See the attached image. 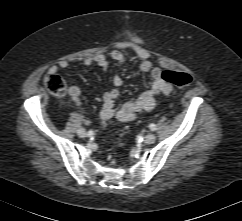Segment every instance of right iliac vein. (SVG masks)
<instances>
[{
  "mask_svg": "<svg viewBox=\"0 0 242 221\" xmlns=\"http://www.w3.org/2000/svg\"><path fill=\"white\" fill-rule=\"evenodd\" d=\"M77 134H78L80 137H86V136H87V132H86L85 129H83V128H80V129L77 131Z\"/></svg>",
  "mask_w": 242,
  "mask_h": 221,
  "instance_id": "1",
  "label": "right iliac vein"
}]
</instances>
